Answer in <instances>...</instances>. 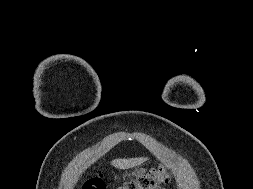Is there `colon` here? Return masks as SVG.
I'll return each mask as SVG.
<instances>
[{
    "label": "colon",
    "mask_w": 253,
    "mask_h": 189,
    "mask_svg": "<svg viewBox=\"0 0 253 189\" xmlns=\"http://www.w3.org/2000/svg\"><path fill=\"white\" fill-rule=\"evenodd\" d=\"M170 176L164 167L153 169L148 173L128 181L117 189H161V185L168 183ZM81 189H105V184L100 176L86 180Z\"/></svg>",
    "instance_id": "1"
}]
</instances>
